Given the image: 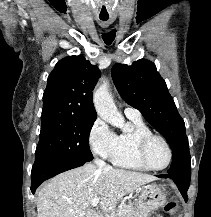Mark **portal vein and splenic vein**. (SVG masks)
<instances>
[{"mask_svg": "<svg viewBox=\"0 0 211 217\" xmlns=\"http://www.w3.org/2000/svg\"><path fill=\"white\" fill-rule=\"evenodd\" d=\"M99 201H100L99 198H94V199L92 200V202H91V205H92L93 207H96V206L98 205ZM107 217H109V215H108Z\"/></svg>", "mask_w": 211, "mask_h": 217, "instance_id": "1", "label": "portal vein and splenic vein"}]
</instances>
